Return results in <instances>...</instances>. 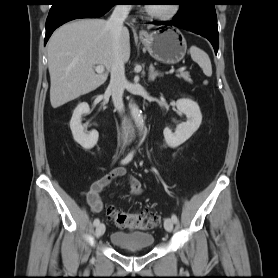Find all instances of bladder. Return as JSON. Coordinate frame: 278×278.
I'll return each mask as SVG.
<instances>
[{"label": "bladder", "mask_w": 278, "mask_h": 278, "mask_svg": "<svg viewBox=\"0 0 278 278\" xmlns=\"http://www.w3.org/2000/svg\"><path fill=\"white\" fill-rule=\"evenodd\" d=\"M112 245L132 250H143L153 246L154 235L143 231H115L110 235Z\"/></svg>", "instance_id": "31cf9c89"}]
</instances>
